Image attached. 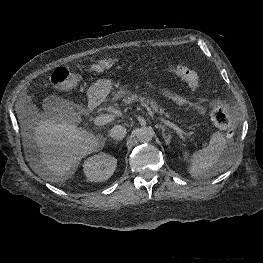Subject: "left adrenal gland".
<instances>
[{
	"label": "left adrenal gland",
	"mask_w": 263,
	"mask_h": 263,
	"mask_svg": "<svg viewBox=\"0 0 263 263\" xmlns=\"http://www.w3.org/2000/svg\"><path fill=\"white\" fill-rule=\"evenodd\" d=\"M158 126L162 129V135H163V138H164L166 144L169 145L170 144V137H171L170 134H168V136H167L164 126H162V125H158Z\"/></svg>",
	"instance_id": "obj_1"
}]
</instances>
